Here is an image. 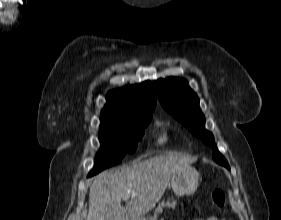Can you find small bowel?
Segmentation results:
<instances>
[{"label": "small bowel", "mask_w": 281, "mask_h": 220, "mask_svg": "<svg viewBox=\"0 0 281 220\" xmlns=\"http://www.w3.org/2000/svg\"><path fill=\"white\" fill-rule=\"evenodd\" d=\"M198 220H218L216 217H208L206 219H198Z\"/></svg>", "instance_id": "obj_1"}]
</instances>
